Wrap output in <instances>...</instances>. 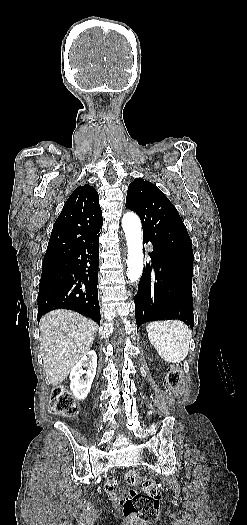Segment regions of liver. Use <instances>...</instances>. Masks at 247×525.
I'll return each mask as SVG.
<instances>
[{
    "label": "liver",
    "mask_w": 247,
    "mask_h": 525,
    "mask_svg": "<svg viewBox=\"0 0 247 525\" xmlns=\"http://www.w3.org/2000/svg\"><path fill=\"white\" fill-rule=\"evenodd\" d=\"M39 327L44 371L51 385H60L89 353L98 325L75 311L56 309L41 317Z\"/></svg>",
    "instance_id": "obj_1"
}]
</instances>
